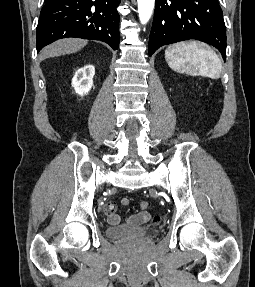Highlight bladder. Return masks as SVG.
Returning a JSON list of instances; mask_svg holds the SVG:
<instances>
[{
  "instance_id": "31cf9c89",
  "label": "bladder",
  "mask_w": 255,
  "mask_h": 287,
  "mask_svg": "<svg viewBox=\"0 0 255 287\" xmlns=\"http://www.w3.org/2000/svg\"><path fill=\"white\" fill-rule=\"evenodd\" d=\"M106 233L107 236L112 239L140 238L151 235L153 233V229L149 226L144 225H118L108 227Z\"/></svg>"
}]
</instances>
